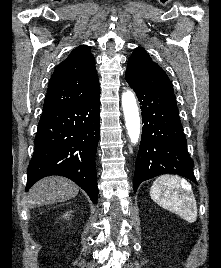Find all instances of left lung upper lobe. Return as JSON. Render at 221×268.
Here are the masks:
<instances>
[{
    "mask_svg": "<svg viewBox=\"0 0 221 268\" xmlns=\"http://www.w3.org/2000/svg\"><path fill=\"white\" fill-rule=\"evenodd\" d=\"M126 81L148 90L173 94L172 84L163 69L141 48H136L128 60Z\"/></svg>",
    "mask_w": 221,
    "mask_h": 268,
    "instance_id": "1",
    "label": "left lung upper lobe"
}]
</instances>
